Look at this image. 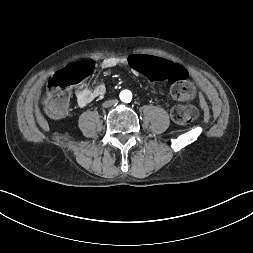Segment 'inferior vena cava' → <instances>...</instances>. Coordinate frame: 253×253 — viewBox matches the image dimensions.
I'll return each instance as SVG.
<instances>
[{"mask_svg": "<svg viewBox=\"0 0 253 253\" xmlns=\"http://www.w3.org/2000/svg\"><path fill=\"white\" fill-rule=\"evenodd\" d=\"M117 103H118V100L116 98H113L112 100L104 102L103 107H110L112 105H116Z\"/></svg>", "mask_w": 253, "mask_h": 253, "instance_id": "602c4592", "label": "inferior vena cava"}]
</instances>
